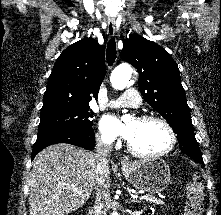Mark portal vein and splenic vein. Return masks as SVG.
Instances as JSON below:
<instances>
[{
  "mask_svg": "<svg viewBox=\"0 0 221 215\" xmlns=\"http://www.w3.org/2000/svg\"><path fill=\"white\" fill-rule=\"evenodd\" d=\"M75 192L77 193H82L81 190H78V189H75ZM137 198V197H136ZM139 199L143 200V199H148V196L147 195H143V196H140Z\"/></svg>",
  "mask_w": 221,
  "mask_h": 215,
  "instance_id": "18ae733b",
  "label": "portal vein and splenic vein"
}]
</instances>
